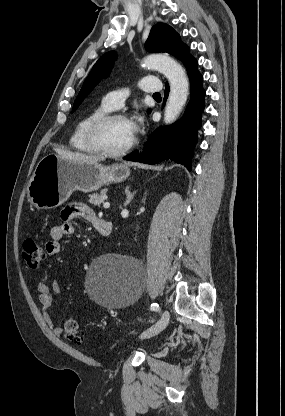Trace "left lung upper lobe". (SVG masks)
Masks as SVG:
<instances>
[{"mask_svg":"<svg viewBox=\"0 0 285 416\" xmlns=\"http://www.w3.org/2000/svg\"><path fill=\"white\" fill-rule=\"evenodd\" d=\"M148 52H166L182 60L186 64L193 57L189 54V47L180 41V36L167 24L158 23L150 31L145 43ZM116 58L115 52H108L102 55L94 64L90 74L86 78L78 97L76 98L72 112L82 103L97 83L109 75ZM150 112V110L148 111Z\"/></svg>","mask_w":285,"mask_h":416,"instance_id":"1","label":"left lung upper lobe"}]
</instances>
